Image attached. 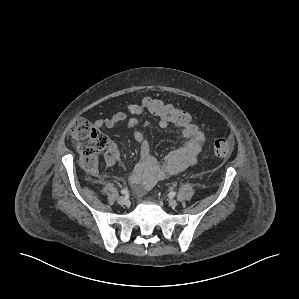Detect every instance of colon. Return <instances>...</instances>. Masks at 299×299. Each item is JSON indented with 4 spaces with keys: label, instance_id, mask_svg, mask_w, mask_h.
<instances>
[{
    "label": "colon",
    "instance_id": "1",
    "mask_svg": "<svg viewBox=\"0 0 299 299\" xmlns=\"http://www.w3.org/2000/svg\"><path fill=\"white\" fill-rule=\"evenodd\" d=\"M142 103L149 114L170 125L184 126L191 122L190 115L186 111L160 98L148 96ZM70 136L80 154L83 166L89 171H96L98 156L108 146L106 136L84 118L74 120ZM213 151L217 157L227 159L233 151L232 142L227 138H219L214 142Z\"/></svg>",
    "mask_w": 299,
    "mask_h": 299
}]
</instances>
